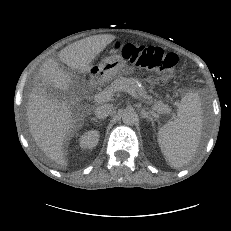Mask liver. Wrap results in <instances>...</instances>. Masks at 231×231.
I'll use <instances>...</instances> for the list:
<instances>
[{
  "instance_id": "obj_1",
  "label": "liver",
  "mask_w": 231,
  "mask_h": 231,
  "mask_svg": "<svg viewBox=\"0 0 231 231\" xmlns=\"http://www.w3.org/2000/svg\"><path fill=\"white\" fill-rule=\"evenodd\" d=\"M116 36L101 34L78 40L59 53V59L72 70L87 74L92 63ZM40 80L29 95L27 103V119L31 135L37 146L53 162L67 166L64 143L75 129L78 119L72 107L65 101L50 97L48 86L68 91L74 87L75 81L71 73L60 68L53 58L47 59L40 69Z\"/></svg>"
}]
</instances>
